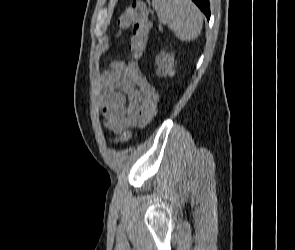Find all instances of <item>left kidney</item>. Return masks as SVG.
Listing matches in <instances>:
<instances>
[{"label":"left kidney","mask_w":295,"mask_h":250,"mask_svg":"<svg viewBox=\"0 0 295 250\" xmlns=\"http://www.w3.org/2000/svg\"><path fill=\"white\" fill-rule=\"evenodd\" d=\"M155 62L158 66V71L161 72L164 76L174 75V54H167L162 52L156 56Z\"/></svg>","instance_id":"5707ae66"}]
</instances>
